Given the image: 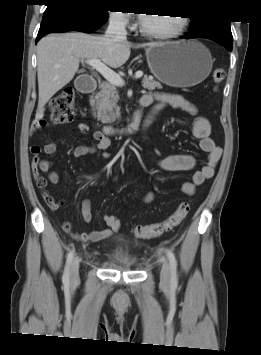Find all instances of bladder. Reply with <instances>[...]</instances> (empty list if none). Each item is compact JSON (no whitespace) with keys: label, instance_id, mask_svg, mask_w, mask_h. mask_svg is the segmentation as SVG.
<instances>
[{"label":"bladder","instance_id":"1","mask_svg":"<svg viewBox=\"0 0 261 355\" xmlns=\"http://www.w3.org/2000/svg\"><path fill=\"white\" fill-rule=\"evenodd\" d=\"M114 240L119 243V246L112 254L114 260L123 267H130V252L129 249L123 245L124 239L121 236H116Z\"/></svg>","mask_w":261,"mask_h":355}]
</instances>
